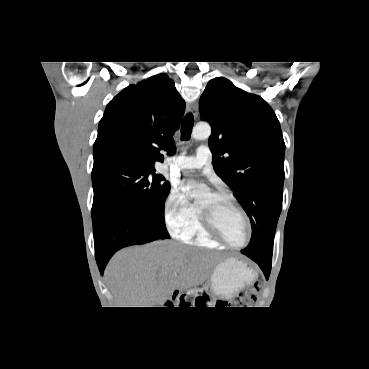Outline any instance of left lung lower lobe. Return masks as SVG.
Returning <instances> with one entry per match:
<instances>
[{"label":"left lung lower lobe","instance_id":"obj_1","mask_svg":"<svg viewBox=\"0 0 369 369\" xmlns=\"http://www.w3.org/2000/svg\"><path fill=\"white\" fill-rule=\"evenodd\" d=\"M252 260H254L262 269V271L264 272V275L266 277V279L269 278V274H270V270H271V261H267V260H262L256 257L251 258Z\"/></svg>","mask_w":369,"mask_h":369}]
</instances>
